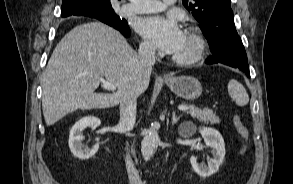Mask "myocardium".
<instances>
[{"mask_svg":"<svg viewBox=\"0 0 293 184\" xmlns=\"http://www.w3.org/2000/svg\"><path fill=\"white\" fill-rule=\"evenodd\" d=\"M185 32L193 36L196 49L194 53L188 57H177L173 55L172 60L179 65H192L199 62L204 57L208 48V42L202 30L197 26H188Z\"/></svg>","mask_w":293,"mask_h":184,"instance_id":"1","label":"myocardium"}]
</instances>
